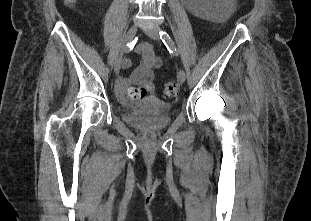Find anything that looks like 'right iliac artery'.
<instances>
[{"instance_id": "82829eb1", "label": "right iliac artery", "mask_w": 311, "mask_h": 221, "mask_svg": "<svg viewBox=\"0 0 311 221\" xmlns=\"http://www.w3.org/2000/svg\"><path fill=\"white\" fill-rule=\"evenodd\" d=\"M136 41H137V38H135L132 42L128 43V44L126 45L125 51L128 52V51L132 50L133 47H134L135 44H136Z\"/></svg>"}]
</instances>
